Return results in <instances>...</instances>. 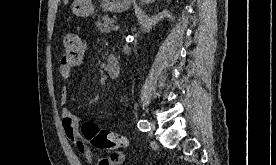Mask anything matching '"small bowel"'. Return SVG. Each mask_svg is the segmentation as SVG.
I'll list each match as a JSON object with an SVG mask.
<instances>
[{
  "label": "small bowel",
  "instance_id": "obj_1",
  "mask_svg": "<svg viewBox=\"0 0 276 165\" xmlns=\"http://www.w3.org/2000/svg\"><path fill=\"white\" fill-rule=\"evenodd\" d=\"M59 73L62 78L68 79L71 76L72 68L61 64L59 67ZM67 97H68L67 89L62 88L60 93L61 115H62V125H63L65 135L71 142H73L77 146L78 150L84 156L86 162L88 164H94L92 152L89 149V147L86 145L84 140L82 139L81 134L79 132V129H78L79 119L74 113H72L66 107ZM123 159H124V155L122 152L112 153L108 157H103L99 159L96 165H118L122 163Z\"/></svg>",
  "mask_w": 276,
  "mask_h": 165
}]
</instances>
